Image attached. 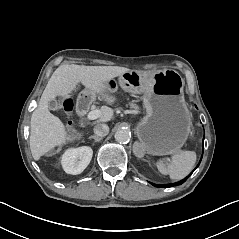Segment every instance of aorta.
I'll return each instance as SVG.
<instances>
[{
	"label": "aorta",
	"mask_w": 239,
	"mask_h": 239,
	"mask_svg": "<svg viewBox=\"0 0 239 239\" xmlns=\"http://www.w3.org/2000/svg\"><path fill=\"white\" fill-rule=\"evenodd\" d=\"M115 139L119 143H128L131 139V132L128 129H118L115 132Z\"/></svg>",
	"instance_id": "obj_1"
}]
</instances>
